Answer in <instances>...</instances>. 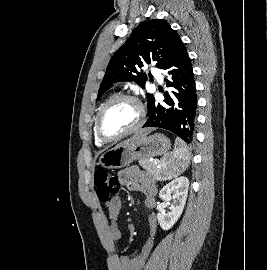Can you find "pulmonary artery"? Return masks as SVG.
Masks as SVG:
<instances>
[{"instance_id": "e3ab8cb5", "label": "pulmonary artery", "mask_w": 267, "mask_h": 270, "mask_svg": "<svg viewBox=\"0 0 267 270\" xmlns=\"http://www.w3.org/2000/svg\"><path fill=\"white\" fill-rule=\"evenodd\" d=\"M152 72H153V74L158 78V80H159L160 82H162L163 78H162L160 72H159L157 69H153Z\"/></svg>"}]
</instances>
